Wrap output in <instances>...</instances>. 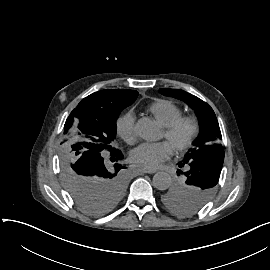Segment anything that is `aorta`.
<instances>
[{"instance_id": "1", "label": "aorta", "mask_w": 270, "mask_h": 270, "mask_svg": "<svg viewBox=\"0 0 270 270\" xmlns=\"http://www.w3.org/2000/svg\"><path fill=\"white\" fill-rule=\"evenodd\" d=\"M171 185V177L168 173L157 172L153 177V186L158 190H166Z\"/></svg>"}]
</instances>
